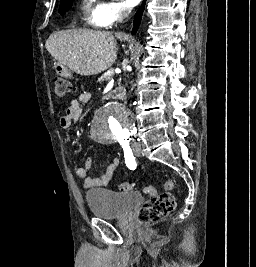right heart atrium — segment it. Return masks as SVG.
Segmentation results:
<instances>
[{"label": "right heart atrium", "mask_w": 256, "mask_h": 267, "mask_svg": "<svg viewBox=\"0 0 256 267\" xmlns=\"http://www.w3.org/2000/svg\"><path fill=\"white\" fill-rule=\"evenodd\" d=\"M123 18V12L120 8L115 9V11L108 17L107 22L108 25L111 26L113 23L117 22V21H121ZM99 21V16L97 15V18L94 20V23L98 26H100L98 24Z\"/></svg>", "instance_id": "right-heart-atrium-1"}]
</instances>
